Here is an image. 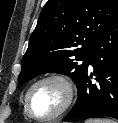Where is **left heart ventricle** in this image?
<instances>
[{
  "label": "left heart ventricle",
  "instance_id": "1",
  "mask_svg": "<svg viewBox=\"0 0 118 123\" xmlns=\"http://www.w3.org/2000/svg\"><path fill=\"white\" fill-rule=\"evenodd\" d=\"M65 100V91L57 82H45L37 86L30 96L33 114L47 117L56 113Z\"/></svg>",
  "mask_w": 118,
  "mask_h": 123
}]
</instances>
